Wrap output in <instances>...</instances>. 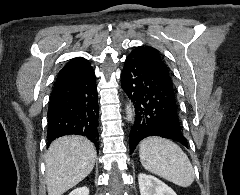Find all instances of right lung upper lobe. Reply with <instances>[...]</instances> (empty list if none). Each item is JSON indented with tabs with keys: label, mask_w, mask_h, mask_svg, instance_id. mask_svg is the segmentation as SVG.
<instances>
[{
	"label": "right lung upper lobe",
	"mask_w": 240,
	"mask_h": 195,
	"mask_svg": "<svg viewBox=\"0 0 240 195\" xmlns=\"http://www.w3.org/2000/svg\"><path fill=\"white\" fill-rule=\"evenodd\" d=\"M92 70L90 63L82 57L70 60L59 72L56 79H73L81 77Z\"/></svg>",
	"instance_id": "right-lung-upper-lobe-1"
}]
</instances>
